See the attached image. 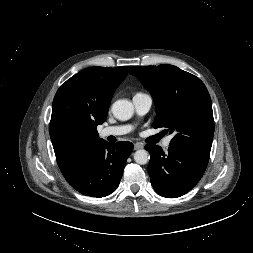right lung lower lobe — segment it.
Returning <instances> with one entry per match:
<instances>
[{
    "label": "right lung lower lobe",
    "mask_w": 253,
    "mask_h": 253,
    "mask_svg": "<svg viewBox=\"0 0 253 253\" xmlns=\"http://www.w3.org/2000/svg\"><path fill=\"white\" fill-rule=\"evenodd\" d=\"M133 151L131 142L93 144L65 173L67 182L79 193L101 198L118 187L128 156Z\"/></svg>",
    "instance_id": "right-lung-lower-lobe-1"
}]
</instances>
